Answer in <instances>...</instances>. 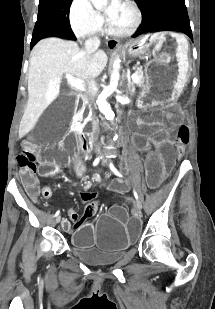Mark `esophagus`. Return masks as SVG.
I'll return each mask as SVG.
<instances>
[{
    "label": "esophagus",
    "mask_w": 215,
    "mask_h": 309,
    "mask_svg": "<svg viewBox=\"0 0 215 309\" xmlns=\"http://www.w3.org/2000/svg\"><path fill=\"white\" fill-rule=\"evenodd\" d=\"M118 46H120L119 40H116L115 38H112L111 40H108L107 47L109 50H115Z\"/></svg>",
    "instance_id": "obj_1"
}]
</instances>
